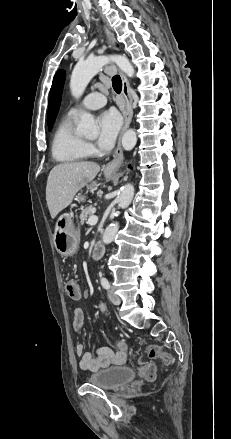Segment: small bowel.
Here are the masks:
<instances>
[{
	"label": "small bowel",
	"mask_w": 231,
	"mask_h": 439,
	"mask_svg": "<svg viewBox=\"0 0 231 439\" xmlns=\"http://www.w3.org/2000/svg\"><path fill=\"white\" fill-rule=\"evenodd\" d=\"M79 300L80 298H73ZM100 312L106 311V305H98ZM84 323V313L80 307L73 308L72 326L74 331L79 332ZM117 350L113 351L108 347H100L94 353L85 351L84 346L78 343L75 347V353L80 357L79 367L82 371H98L99 369L111 365H123L127 359V345L123 341L116 343Z\"/></svg>",
	"instance_id": "1"
}]
</instances>
